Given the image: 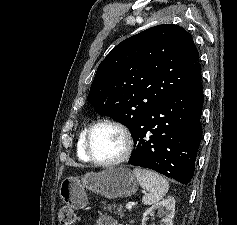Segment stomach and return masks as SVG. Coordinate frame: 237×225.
Returning <instances> with one entry per match:
<instances>
[{"label":"stomach","instance_id":"obj_1","mask_svg":"<svg viewBox=\"0 0 237 225\" xmlns=\"http://www.w3.org/2000/svg\"><path fill=\"white\" fill-rule=\"evenodd\" d=\"M86 190L108 199L124 198L137 192L138 183L129 169L109 167L100 172H87L81 178H65L60 184L59 195L64 203L78 210L88 204Z\"/></svg>","mask_w":237,"mask_h":225}]
</instances>
